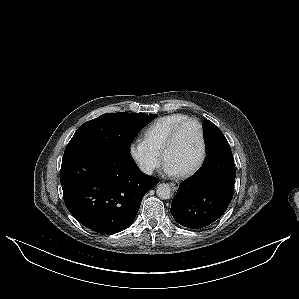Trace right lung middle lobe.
Masks as SVG:
<instances>
[{
    "instance_id": "dd1d6c3e",
    "label": "right lung middle lobe",
    "mask_w": 299,
    "mask_h": 299,
    "mask_svg": "<svg viewBox=\"0 0 299 299\" xmlns=\"http://www.w3.org/2000/svg\"><path fill=\"white\" fill-rule=\"evenodd\" d=\"M156 116L157 114L126 112L103 114L82 124L67 147L73 145L99 146L130 156L132 140Z\"/></svg>"
}]
</instances>
